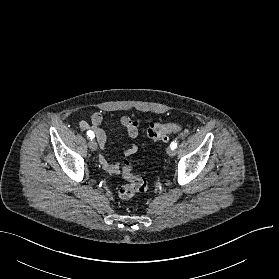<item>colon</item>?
Wrapping results in <instances>:
<instances>
[{"label":"colon","mask_w":279,"mask_h":279,"mask_svg":"<svg viewBox=\"0 0 279 279\" xmlns=\"http://www.w3.org/2000/svg\"><path fill=\"white\" fill-rule=\"evenodd\" d=\"M183 130V127L177 123H156L151 122L147 128L148 136L154 141H166L168 136L173 133H178ZM122 177L128 182L118 189V196L122 200L132 198L136 193L147 190V181L132 172L131 162L125 159L122 163Z\"/></svg>","instance_id":"5ec220e1"}]
</instances>
